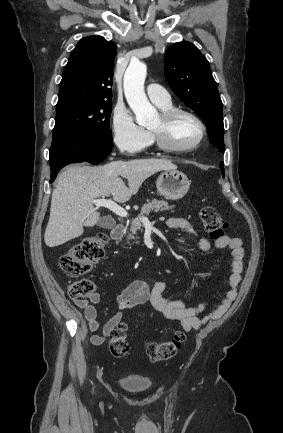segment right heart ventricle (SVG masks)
<instances>
[{
    "instance_id": "1",
    "label": "right heart ventricle",
    "mask_w": 283,
    "mask_h": 433,
    "mask_svg": "<svg viewBox=\"0 0 283 433\" xmlns=\"http://www.w3.org/2000/svg\"><path fill=\"white\" fill-rule=\"evenodd\" d=\"M159 108H160L162 111H166V110H168V109H170V108H173V106H172V104H171V102H170V103L167 104V105L159 106Z\"/></svg>"
}]
</instances>
